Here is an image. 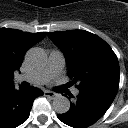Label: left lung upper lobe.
I'll return each mask as SVG.
<instances>
[{
	"instance_id": "5c2ea615",
	"label": "left lung upper lobe",
	"mask_w": 128,
	"mask_h": 128,
	"mask_svg": "<svg viewBox=\"0 0 128 128\" xmlns=\"http://www.w3.org/2000/svg\"><path fill=\"white\" fill-rule=\"evenodd\" d=\"M48 37L66 58L68 76L79 90L109 88L118 90L119 64L111 47L85 30L50 32Z\"/></svg>"
}]
</instances>
